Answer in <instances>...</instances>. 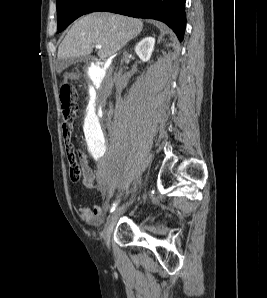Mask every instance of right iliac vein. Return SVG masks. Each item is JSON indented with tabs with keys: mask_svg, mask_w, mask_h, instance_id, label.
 <instances>
[{
	"mask_svg": "<svg viewBox=\"0 0 267 298\" xmlns=\"http://www.w3.org/2000/svg\"><path fill=\"white\" fill-rule=\"evenodd\" d=\"M133 198H134V194L131 196V198L128 201H126L124 204H122L117 209H115L113 213L108 217L105 227L102 231V237L108 248L110 246L111 234L113 232L117 219L124 212V210L133 202Z\"/></svg>",
	"mask_w": 267,
	"mask_h": 298,
	"instance_id": "63e3f726",
	"label": "right iliac vein"
}]
</instances>
